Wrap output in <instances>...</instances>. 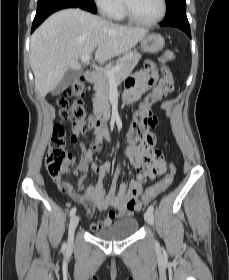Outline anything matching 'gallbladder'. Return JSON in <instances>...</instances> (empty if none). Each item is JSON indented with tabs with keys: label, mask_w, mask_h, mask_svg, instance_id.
Instances as JSON below:
<instances>
[{
	"label": "gallbladder",
	"mask_w": 229,
	"mask_h": 280,
	"mask_svg": "<svg viewBox=\"0 0 229 280\" xmlns=\"http://www.w3.org/2000/svg\"><path fill=\"white\" fill-rule=\"evenodd\" d=\"M82 75L81 70L68 69L63 76L62 81L53 89L52 93L54 95L60 94L69 84L74 82Z\"/></svg>",
	"instance_id": "bac80fb5"
}]
</instances>
